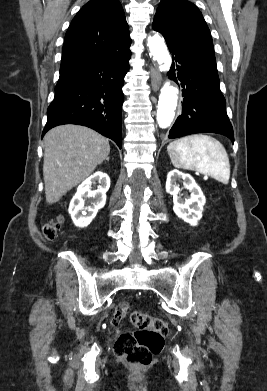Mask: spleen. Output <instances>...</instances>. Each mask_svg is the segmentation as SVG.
<instances>
[{
	"instance_id": "1",
	"label": "spleen",
	"mask_w": 267,
	"mask_h": 391,
	"mask_svg": "<svg viewBox=\"0 0 267 391\" xmlns=\"http://www.w3.org/2000/svg\"><path fill=\"white\" fill-rule=\"evenodd\" d=\"M167 151L175 167L198 171L223 184L229 183L228 154L215 138L204 134L186 136L170 143Z\"/></svg>"
}]
</instances>
